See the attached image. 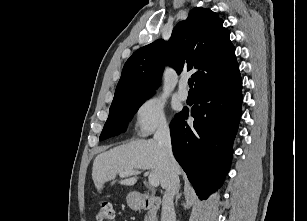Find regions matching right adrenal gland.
Here are the masks:
<instances>
[{
    "label": "right adrenal gland",
    "instance_id": "1",
    "mask_svg": "<svg viewBox=\"0 0 307 221\" xmlns=\"http://www.w3.org/2000/svg\"><path fill=\"white\" fill-rule=\"evenodd\" d=\"M180 188V187H179ZM180 196H181V193H179V189H178V191H177V193H176V197H175V202L177 203V201H178V199L180 198Z\"/></svg>",
    "mask_w": 307,
    "mask_h": 221
}]
</instances>
